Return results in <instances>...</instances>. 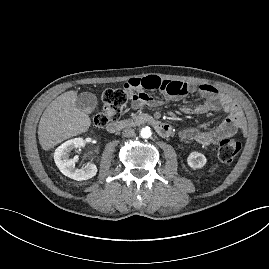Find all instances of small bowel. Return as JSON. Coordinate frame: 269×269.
<instances>
[{"label":"small bowel","mask_w":269,"mask_h":269,"mask_svg":"<svg viewBox=\"0 0 269 269\" xmlns=\"http://www.w3.org/2000/svg\"><path fill=\"white\" fill-rule=\"evenodd\" d=\"M125 86L134 109H141L144 106L158 107L170 98L181 100L191 93H198L204 98V103L195 107L184 106L182 108L184 113L202 115L223 111L226 114V118L215 129L203 130L198 127H189L182 130L180 137L184 140L195 142L201 146H210L237 131L245 132L246 121L240 107L212 85L168 81L157 76H149L132 78L125 83ZM148 91H160L164 95V99L155 98L149 95Z\"/></svg>","instance_id":"small-bowel-1"}]
</instances>
